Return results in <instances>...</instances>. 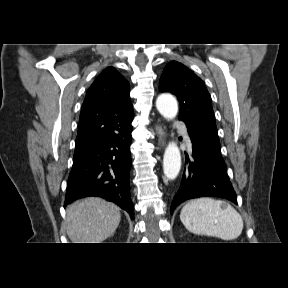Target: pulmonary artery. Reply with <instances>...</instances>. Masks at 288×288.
I'll return each mask as SVG.
<instances>
[{"mask_svg":"<svg viewBox=\"0 0 288 288\" xmlns=\"http://www.w3.org/2000/svg\"><path fill=\"white\" fill-rule=\"evenodd\" d=\"M175 127H177V128H183V126H182V124L180 123V122H175ZM184 136H185V139L187 140V141H190V138H189V136H188V134H187V131H186V129L184 128Z\"/></svg>","mask_w":288,"mask_h":288,"instance_id":"e3ab8cb5","label":"pulmonary artery"}]
</instances>
